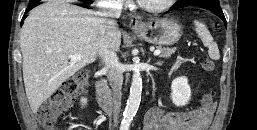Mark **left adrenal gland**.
I'll return each instance as SVG.
<instances>
[{
	"instance_id": "a2214340",
	"label": "left adrenal gland",
	"mask_w": 257,
	"mask_h": 130,
	"mask_svg": "<svg viewBox=\"0 0 257 130\" xmlns=\"http://www.w3.org/2000/svg\"><path fill=\"white\" fill-rule=\"evenodd\" d=\"M156 64H157V65H162V64H163V62H157Z\"/></svg>"
}]
</instances>
